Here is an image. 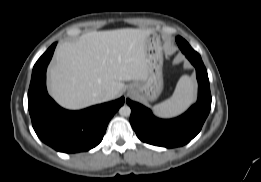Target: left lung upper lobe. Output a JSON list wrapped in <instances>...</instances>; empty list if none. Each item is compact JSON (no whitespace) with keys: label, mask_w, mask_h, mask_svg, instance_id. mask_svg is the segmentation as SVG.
<instances>
[{"label":"left lung upper lobe","mask_w":261,"mask_h":182,"mask_svg":"<svg viewBox=\"0 0 261 182\" xmlns=\"http://www.w3.org/2000/svg\"><path fill=\"white\" fill-rule=\"evenodd\" d=\"M176 42H177L179 48L181 49V51H184V50L194 51L191 48V46L188 44V42L186 40H184L182 37L178 36L176 38Z\"/></svg>","instance_id":"1"}]
</instances>
